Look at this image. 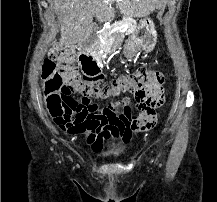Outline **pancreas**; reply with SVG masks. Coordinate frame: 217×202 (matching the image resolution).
Returning <instances> with one entry per match:
<instances>
[{"mask_svg":"<svg viewBox=\"0 0 217 202\" xmlns=\"http://www.w3.org/2000/svg\"><path fill=\"white\" fill-rule=\"evenodd\" d=\"M125 20H128V17H125ZM120 24L121 23L117 21L114 26H110L108 29L110 31L114 28L117 29L119 27L118 25ZM136 28L137 24H135V22H128V32H126V34H133ZM123 38L124 34H122V32H115V34H111V36H107V34H104L103 40L105 44H108L107 48H105L106 52H109V48H114V50H116V48H118V46L122 44Z\"/></svg>","mask_w":217,"mask_h":202,"instance_id":"pancreas-1","label":"pancreas"}]
</instances>
